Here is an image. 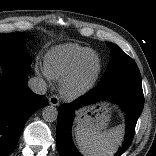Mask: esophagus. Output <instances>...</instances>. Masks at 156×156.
<instances>
[{
  "label": "esophagus",
  "mask_w": 156,
  "mask_h": 156,
  "mask_svg": "<svg viewBox=\"0 0 156 156\" xmlns=\"http://www.w3.org/2000/svg\"><path fill=\"white\" fill-rule=\"evenodd\" d=\"M49 104L52 106H58L59 105V98L56 95H52L49 97Z\"/></svg>",
  "instance_id": "obj_1"
}]
</instances>
